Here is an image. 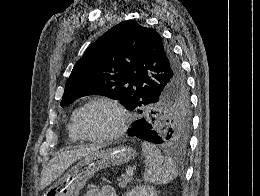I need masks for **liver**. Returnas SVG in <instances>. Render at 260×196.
Returning a JSON list of instances; mask_svg holds the SVG:
<instances>
[{"label": "liver", "mask_w": 260, "mask_h": 196, "mask_svg": "<svg viewBox=\"0 0 260 196\" xmlns=\"http://www.w3.org/2000/svg\"><path fill=\"white\" fill-rule=\"evenodd\" d=\"M100 148H103V146H94V144L92 146H77L76 150H68V152H62V154L55 156L41 176L39 190H44V188L50 186L74 162H78L81 158H86L89 154L99 152Z\"/></svg>", "instance_id": "1"}]
</instances>
